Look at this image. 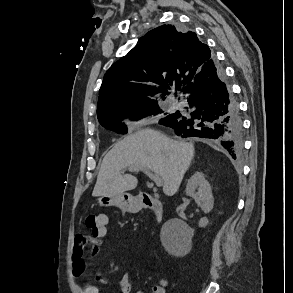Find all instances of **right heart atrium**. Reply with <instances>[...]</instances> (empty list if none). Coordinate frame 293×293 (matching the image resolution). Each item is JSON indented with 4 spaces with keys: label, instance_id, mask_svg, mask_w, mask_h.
Returning <instances> with one entry per match:
<instances>
[{
    "label": "right heart atrium",
    "instance_id": "1",
    "mask_svg": "<svg viewBox=\"0 0 293 293\" xmlns=\"http://www.w3.org/2000/svg\"><path fill=\"white\" fill-rule=\"evenodd\" d=\"M144 123V120H138V121H136V124L137 125H141V124H143Z\"/></svg>",
    "mask_w": 293,
    "mask_h": 293
}]
</instances>
